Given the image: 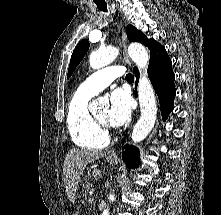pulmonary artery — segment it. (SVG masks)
I'll return each instance as SVG.
<instances>
[{"instance_id":"1","label":"pulmonary artery","mask_w":221,"mask_h":215,"mask_svg":"<svg viewBox=\"0 0 221 215\" xmlns=\"http://www.w3.org/2000/svg\"><path fill=\"white\" fill-rule=\"evenodd\" d=\"M125 71L126 69L123 66L106 67L87 77L78 89L88 94H97L115 79L123 76Z\"/></svg>"}]
</instances>
